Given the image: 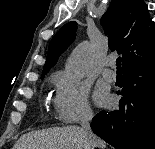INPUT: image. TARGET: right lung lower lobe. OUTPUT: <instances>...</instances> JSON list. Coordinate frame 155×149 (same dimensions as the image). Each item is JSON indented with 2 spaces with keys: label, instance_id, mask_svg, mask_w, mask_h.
I'll use <instances>...</instances> for the list:
<instances>
[{
  "label": "right lung lower lobe",
  "instance_id": "obj_1",
  "mask_svg": "<svg viewBox=\"0 0 155 149\" xmlns=\"http://www.w3.org/2000/svg\"><path fill=\"white\" fill-rule=\"evenodd\" d=\"M123 74L119 109L101 111L91 128L116 149H155V60L130 66Z\"/></svg>",
  "mask_w": 155,
  "mask_h": 149
}]
</instances>
